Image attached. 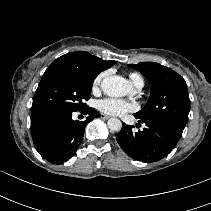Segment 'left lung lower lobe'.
Returning <instances> with one entry per match:
<instances>
[{"instance_id":"obj_1","label":"left lung lower lobe","mask_w":211,"mask_h":211,"mask_svg":"<svg viewBox=\"0 0 211 211\" xmlns=\"http://www.w3.org/2000/svg\"><path fill=\"white\" fill-rule=\"evenodd\" d=\"M139 123H145L146 128L134 133L132 126L123 124L116 139L129 156L146 163L166 157L174 149L183 132L164 121L140 119Z\"/></svg>"}]
</instances>
